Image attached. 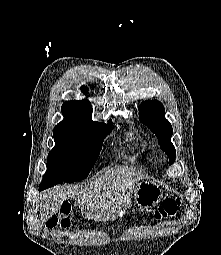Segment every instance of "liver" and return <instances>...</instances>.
I'll list each match as a JSON object with an SVG mask.
<instances>
[{
	"instance_id": "liver-1",
	"label": "liver",
	"mask_w": 221,
	"mask_h": 255,
	"mask_svg": "<svg viewBox=\"0 0 221 255\" xmlns=\"http://www.w3.org/2000/svg\"><path fill=\"white\" fill-rule=\"evenodd\" d=\"M143 178L134 168L115 166L85 185L52 188L40 197V221H48L74 197L88 220L113 221L120 207L130 205L135 184Z\"/></svg>"
}]
</instances>
